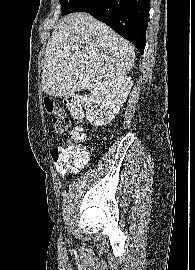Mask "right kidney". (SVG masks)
<instances>
[{
    "label": "right kidney",
    "mask_w": 195,
    "mask_h": 270,
    "mask_svg": "<svg viewBox=\"0 0 195 270\" xmlns=\"http://www.w3.org/2000/svg\"><path fill=\"white\" fill-rule=\"evenodd\" d=\"M131 77L123 76L95 87L88 98L86 117L93 126L108 124L120 111L132 88Z\"/></svg>",
    "instance_id": "right-kidney-1"
}]
</instances>
